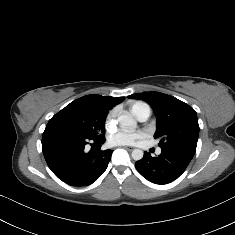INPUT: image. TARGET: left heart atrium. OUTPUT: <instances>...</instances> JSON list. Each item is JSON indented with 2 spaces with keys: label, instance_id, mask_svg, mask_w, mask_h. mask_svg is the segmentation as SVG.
Segmentation results:
<instances>
[{
  "label": "left heart atrium",
  "instance_id": "obj_1",
  "mask_svg": "<svg viewBox=\"0 0 235 235\" xmlns=\"http://www.w3.org/2000/svg\"><path fill=\"white\" fill-rule=\"evenodd\" d=\"M142 131L117 130L108 136V142L114 146L130 145L143 138Z\"/></svg>",
  "mask_w": 235,
  "mask_h": 235
}]
</instances>
